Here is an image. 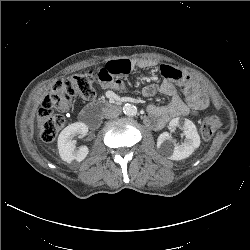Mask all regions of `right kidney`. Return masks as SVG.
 Returning a JSON list of instances; mask_svg holds the SVG:
<instances>
[{
	"mask_svg": "<svg viewBox=\"0 0 250 250\" xmlns=\"http://www.w3.org/2000/svg\"><path fill=\"white\" fill-rule=\"evenodd\" d=\"M88 133V127L82 122L73 123L64 128L58 137V150L62 160L71 163L73 160L81 162L88 155L86 146L75 150L74 136H85Z\"/></svg>",
	"mask_w": 250,
	"mask_h": 250,
	"instance_id": "right-kidney-1",
	"label": "right kidney"
}]
</instances>
